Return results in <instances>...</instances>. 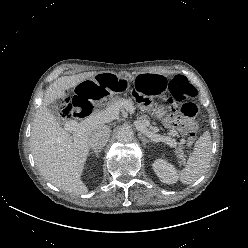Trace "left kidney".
<instances>
[{
  "mask_svg": "<svg viewBox=\"0 0 248 248\" xmlns=\"http://www.w3.org/2000/svg\"><path fill=\"white\" fill-rule=\"evenodd\" d=\"M153 170L163 183L174 184L178 180L177 172L173 165L163 159H158L153 163Z\"/></svg>",
  "mask_w": 248,
  "mask_h": 248,
  "instance_id": "left-kidney-1",
  "label": "left kidney"
}]
</instances>
